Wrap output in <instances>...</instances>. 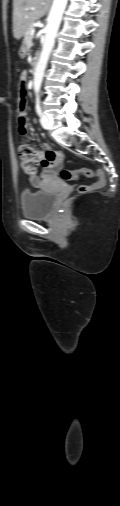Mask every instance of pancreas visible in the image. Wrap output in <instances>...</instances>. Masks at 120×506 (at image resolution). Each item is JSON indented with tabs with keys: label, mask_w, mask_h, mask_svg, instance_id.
<instances>
[{
	"label": "pancreas",
	"mask_w": 120,
	"mask_h": 506,
	"mask_svg": "<svg viewBox=\"0 0 120 506\" xmlns=\"http://www.w3.org/2000/svg\"><path fill=\"white\" fill-rule=\"evenodd\" d=\"M33 29V26L32 25H29L27 30H26V33H25V37H24V45L26 46V48L30 47L32 45V35L30 34V31Z\"/></svg>",
	"instance_id": "1"
}]
</instances>
